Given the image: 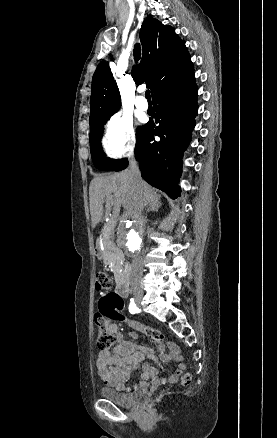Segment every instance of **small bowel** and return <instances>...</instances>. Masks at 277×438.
<instances>
[{"label": "small bowel", "mask_w": 277, "mask_h": 438, "mask_svg": "<svg viewBox=\"0 0 277 438\" xmlns=\"http://www.w3.org/2000/svg\"><path fill=\"white\" fill-rule=\"evenodd\" d=\"M136 322L129 321V325L136 326ZM107 330L116 336V345L113 351H101L96 360V369L99 378L106 384L124 391L127 389L125 383L130 379L131 373L136 369L145 356L154 357L163 362L174 360L178 368L172 375L171 380L176 381L185 371L184 359L178 346L172 344L169 346L168 353H162L159 358L154 355L151 348L141 347L131 340H125L116 324L108 326ZM132 331V328H129ZM132 339H137L138 334L130 333ZM154 349L161 350L164 347L163 342L156 341L153 344ZM144 373L140 385H144L149 379L158 380L155 371L151 368L152 362L149 359L144 360Z\"/></svg>", "instance_id": "c3829d8e"}]
</instances>
